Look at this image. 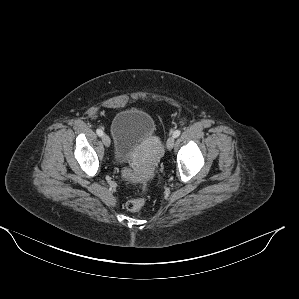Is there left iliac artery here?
<instances>
[{
	"mask_svg": "<svg viewBox=\"0 0 299 299\" xmlns=\"http://www.w3.org/2000/svg\"><path fill=\"white\" fill-rule=\"evenodd\" d=\"M180 133L181 132L179 130L174 131L173 137L177 138L180 135Z\"/></svg>",
	"mask_w": 299,
	"mask_h": 299,
	"instance_id": "left-iliac-artery-1",
	"label": "left iliac artery"
}]
</instances>
